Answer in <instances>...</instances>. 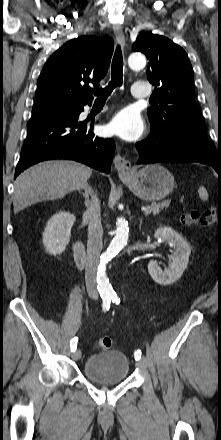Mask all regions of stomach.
I'll return each instance as SVG.
<instances>
[{
    "label": "stomach",
    "mask_w": 221,
    "mask_h": 440,
    "mask_svg": "<svg viewBox=\"0 0 221 440\" xmlns=\"http://www.w3.org/2000/svg\"><path fill=\"white\" fill-rule=\"evenodd\" d=\"M122 181L137 197L145 201L165 198L174 188V176L159 164H149L121 176Z\"/></svg>",
    "instance_id": "0dacf381"
}]
</instances>
